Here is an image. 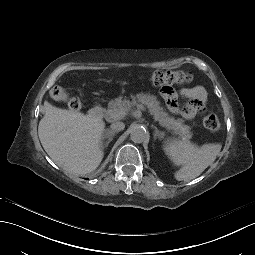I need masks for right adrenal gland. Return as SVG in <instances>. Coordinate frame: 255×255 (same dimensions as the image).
I'll return each mask as SVG.
<instances>
[{"instance_id":"obj_1","label":"right adrenal gland","mask_w":255,"mask_h":255,"mask_svg":"<svg viewBox=\"0 0 255 255\" xmlns=\"http://www.w3.org/2000/svg\"><path fill=\"white\" fill-rule=\"evenodd\" d=\"M116 134V132L112 131V130H108L106 131V133L103 135V139H108L105 143V147L109 145V143L111 142L113 136Z\"/></svg>"}]
</instances>
